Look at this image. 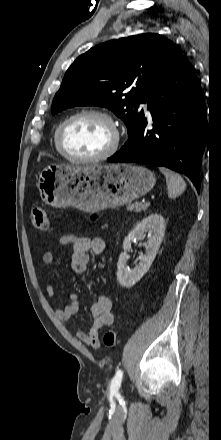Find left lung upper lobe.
I'll list each match as a JSON object with an SVG mask.
<instances>
[{
    "label": "left lung upper lobe",
    "instance_id": "left-lung-upper-lobe-1",
    "mask_svg": "<svg viewBox=\"0 0 221 440\" xmlns=\"http://www.w3.org/2000/svg\"><path fill=\"white\" fill-rule=\"evenodd\" d=\"M181 57L173 42L154 33L97 45L66 71L51 112L77 105L107 107L124 121L129 138L144 118L139 105L148 102Z\"/></svg>",
    "mask_w": 221,
    "mask_h": 440
}]
</instances>
